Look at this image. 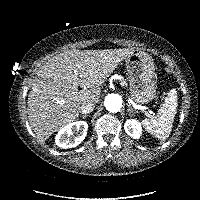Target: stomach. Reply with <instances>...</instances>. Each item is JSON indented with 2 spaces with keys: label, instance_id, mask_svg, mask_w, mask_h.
<instances>
[{
  "label": "stomach",
  "instance_id": "obj_1",
  "mask_svg": "<svg viewBox=\"0 0 200 200\" xmlns=\"http://www.w3.org/2000/svg\"><path fill=\"white\" fill-rule=\"evenodd\" d=\"M129 74V93L134 102L146 104L156 94L153 59L144 51H133L125 59Z\"/></svg>",
  "mask_w": 200,
  "mask_h": 200
}]
</instances>
